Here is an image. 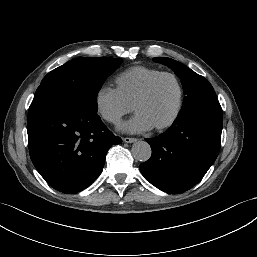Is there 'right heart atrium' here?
<instances>
[{"label":"right heart atrium","mask_w":257,"mask_h":257,"mask_svg":"<svg viewBox=\"0 0 257 257\" xmlns=\"http://www.w3.org/2000/svg\"><path fill=\"white\" fill-rule=\"evenodd\" d=\"M95 104L100 116L110 123H117L132 109L131 104L116 87L102 85L95 95Z\"/></svg>","instance_id":"obj_1"}]
</instances>
